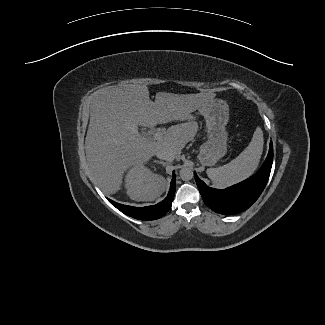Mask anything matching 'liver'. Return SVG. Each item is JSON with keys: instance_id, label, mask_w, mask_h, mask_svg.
<instances>
[{"instance_id": "liver-1", "label": "liver", "mask_w": 325, "mask_h": 325, "mask_svg": "<svg viewBox=\"0 0 325 325\" xmlns=\"http://www.w3.org/2000/svg\"><path fill=\"white\" fill-rule=\"evenodd\" d=\"M215 96L212 92H158L153 102L146 85H118L97 90L91 97L85 140L91 178L105 193L113 194L121 189L128 169H143L158 150H170L179 159L182 149L197 133L196 122L173 125L161 140L154 142L138 133L137 126L154 127L184 119Z\"/></svg>"}]
</instances>
